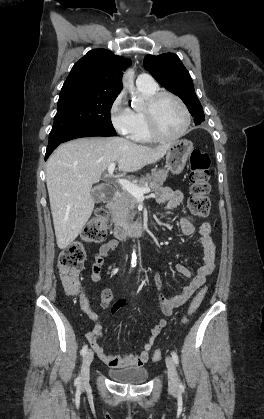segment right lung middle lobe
Listing matches in <instances>:
<instances>
[{
	"mask_svg": "<svg viewBox=\"0 0 264 419\" xmlns=\"http://www.w3.org/2000/svg\"><path fill=\"white\" fill-rule=\"evenodd\" d=\"M118 94L90 90L83 86L62 87L49 143L78 130L115 132L110 118Z\"/></svg>",
	"mask_w": 264,
	"mask_h": 419,
	"instance_id": "dd1d6c3e",
	"label": "right lung middle lobe"
}]
</instances>
